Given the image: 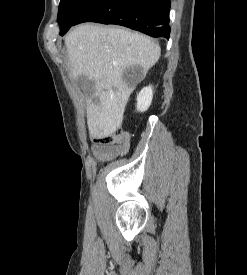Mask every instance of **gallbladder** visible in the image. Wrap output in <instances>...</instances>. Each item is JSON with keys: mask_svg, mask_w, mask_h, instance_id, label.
<instances>
[{"mask_svg": "<svg viewBox=\"0 0 247 275\" xmlns=\"http://www.w3.org/2000/svg\"><path fill=\"white\" fill-rule=\"evenodd\" d=\"M76 83L84 89V91L91 96L95 92V83L93 80H89L85 76H79L76 79Z\"/></svg>", "mask_w": 247, "mask_h": 275, "instance_id": "bac80fb5", "label": "gallbladder"}]
</instances>
